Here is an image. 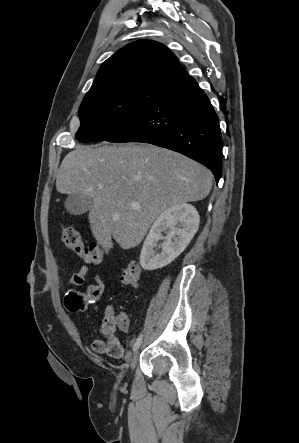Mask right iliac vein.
<instances>
[{
    "mask_svg": "<svg viewBox=\"0 0 299 443\" xmlns=\"http://www.w3.org/2000/svg\"><path fill=\"white\" fill-rule=\"evenodd\" d=\"M137 360H138V351H136V352L134 353V355H133V357H132V359H131V363H130L131 369H134V367H135L136 364H137Z\"/></svg>",
    "mask_w": 299,
    "mask_h": 443,
    "instance_id": "63e3f726",
    "label": "right iliac vein"
}]
</instances>
